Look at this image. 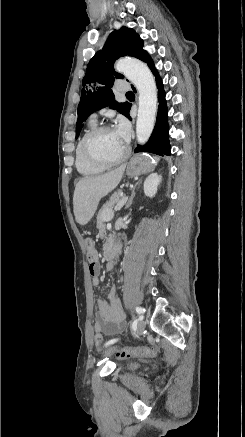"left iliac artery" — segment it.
Returning a JSON list of instances; mask_svg holds the SVG:
<instances>
[{"label":"left iliac artery","mask_w":245,"mask_h":437,"mask_svg":"<svg viewBox=\"0 0 245 437\" xmlns=\"http://www.w3.org/2000/svg\"><path fill=\"white\" fill-rule=\"evenodd\" d=\"M136 312L139 314V318L135 321V323H136L138 320H141V319H142V314L145 312V309L142 308V307H136ZM116 341H118V339H111V340H109L108 342L105 343V346H108V345H110V344H113V343H115Z\"/></svg>","instance_id":"obj_1"}]
</instances>
